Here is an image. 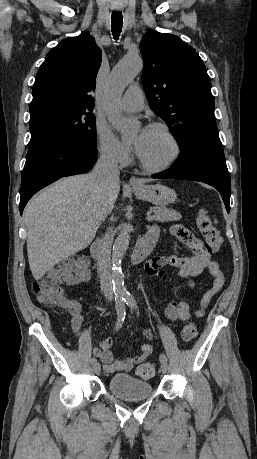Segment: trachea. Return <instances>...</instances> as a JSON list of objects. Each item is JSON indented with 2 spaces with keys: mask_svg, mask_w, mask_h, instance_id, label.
I'll use <instances>...</instances> for the list:
<instances>
[{
  "mask_svg": "<svg viewBox=\"0 0 257 459\" xmlns=\"http://www.w3.org/2000/svg\"><path fill=\"white\" fill-rule=\"evenodd\" d=\"M123 24V16L121 12H113L111 16L112 35L115 40L119 39Z\"/></svg>",
  "mask_w": 257,
  "mask_h": 459,
  "instance_id": "trachea-1",
  "label": "trachea"
}]
</instances>
